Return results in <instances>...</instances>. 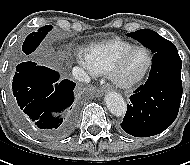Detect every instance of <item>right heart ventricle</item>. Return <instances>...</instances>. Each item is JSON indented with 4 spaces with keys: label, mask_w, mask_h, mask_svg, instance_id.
Masks as SVG:
<instances>
[{
    "label": "right heart ventricle",
    "mask_w": 190,
    "mask_h": 165,
    "mask_svg": "<svg viewBox=\"0 0 190 165\" xmlns=\"http://www.w3.org/2000/svg\"><path fill=\"white\" fill-rule=\"evenodd\" d=\"M134 45L119 37L91 44L84 55L87 66L95 75H109L119 56Z\"/></svg>",
    "instance_id": "e07e8e85"
}]
</instances>
